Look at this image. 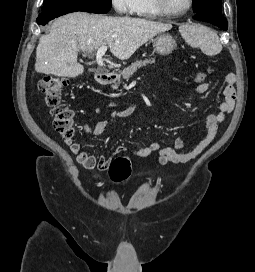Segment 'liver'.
<instances>
[{
    "label": "liver",
    "instance_id": "1",
    "mask_svg": "<svg viewBox=\"0 0 255 272\" xmlns=\"http://www.w3.org/2000/svg\"><path fill=\"white\" fill-rule=\"evenodd\" d=\"M171 28V24L143 18L70 13L56 19L49 34L40 37L35 70L74 78L84 72L77 62L79 50L93 51L108 44L115 57L126 60L149 39Z\"/></svg>",
    "mask_w": 255,
    "mask_h": 272
}]
</instances>
